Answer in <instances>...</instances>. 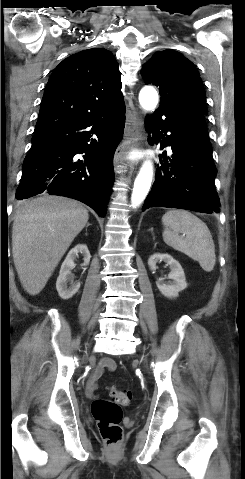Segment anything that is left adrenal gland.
Wrapping results in <instances>:
<instances>
[{
    "instance_id": "left-adrenal-gland-1",
    "label": "left adrenal gland",
    "mask_w": 245,
    "mask_h": 479,
    "mask_svg": "<svg viewBox=\"0 0 245 479\" xmlns=\"http://www.w3.org/2000/svg\"><path fill=\"white\" fill-rule=\"evenodd\" d=\"M151 233L153 234V228L150 229Z\"/></svg>"
}]
</instances>
